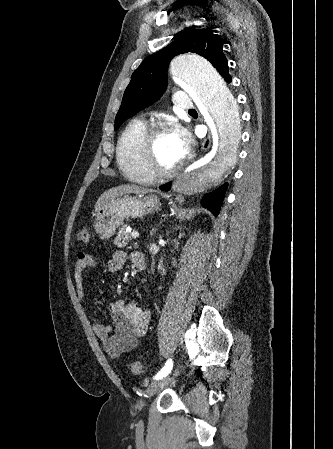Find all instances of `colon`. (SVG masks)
I'll return each mask as SVG.
<instances>
[{"label": "colon", "instance_id": "5ec220e1", "mask_svg": "<svg viewBox=\"0 0 333 449\" xmlns=\"http://www.w3.org/2000/svg\"><path fill=\"white\" fill-rule=\"evenodd\" d=\"M90 235H91L90 229L88 227H84L80 230L78 238L81 242L87 243L90 239ZM130 369L134 375H141L143 372L142 365L139 361H132L130 363Z\"/></svg>", "mask_w": 333, "mask_h": 449}]
</instances>
